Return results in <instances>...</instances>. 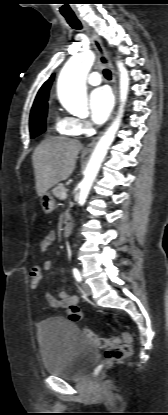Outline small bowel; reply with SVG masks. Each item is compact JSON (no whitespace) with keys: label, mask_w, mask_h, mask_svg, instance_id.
<instances>
[{"label":"small bowel","mask_w":168,"mask_h":415,"mask_svg":"<svg viewBox=\"0 0 168 415\" xmlns=\"http://www.w3.org/2000/svg\"><path fill=\"white\" fill-rule=\"evenodd\" d=\"M56 240V233L50 232L40 243V248L43 252L47 253ZM52 268V262L46 260L43 263L41 270L49 271ZM43 275V273H42ZM41 285V283H40ZM46 301L53 308L66 310L69 313V318L72 321H79L81 319V313L78 306V297L74 294H70L67 291H60L57 297H54L49 290L43 293Z\"/></svg>","instance_id":"1"}]
</instances>
